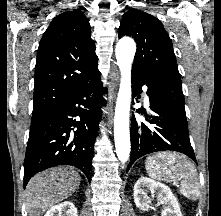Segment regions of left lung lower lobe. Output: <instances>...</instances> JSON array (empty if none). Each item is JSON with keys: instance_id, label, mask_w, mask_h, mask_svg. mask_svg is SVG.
<instances>
[{"instance_id": "1", "label": "left lung lower lobe", "mask_w": 221, "mask_h": 216, "mask_svg": "<svg viewBox=\"0 0 221 216\" xmlns=\"http://www.w3.org/2000/svg\"><path fill=\"white\" fill-rule=\"evenodd\" d=\"M148 86L147 94L150 101L151 115L145 114V119L151 126L141 123L142 134H138V125L135 122L131 128V165L140 157L158 151L181 152L196 163V158L189 140L187 119L172 108L164 96L140 70H132V89L134 96L142 92L141 86ZM134 103V100H133ZM136 112L140 113L139 109ZM143 114V111H141Z\"/></svg>"}]
</instances>
